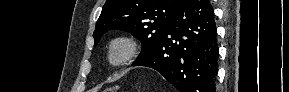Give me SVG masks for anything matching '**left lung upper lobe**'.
Masks as SVG:
<instances>
[{"instance_id": "left-lung-upper-lobe-1", "label": "left lung upper lobe", "mask_w": 289, "mask_h": 92, "mask_svg": "<svg viewBox=\"0 0 289 92\" xmlns=\"http://www.w3.org/2000/svg\"><path fill=\"white\" fill-rule=\"evenodd\" d=\"M184 0H107L93 33L95 46L111 29L132 33L142 42L136 59L153 53L162 34Z\"/></svg>"}]
</instances>
